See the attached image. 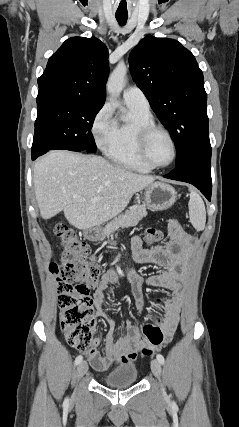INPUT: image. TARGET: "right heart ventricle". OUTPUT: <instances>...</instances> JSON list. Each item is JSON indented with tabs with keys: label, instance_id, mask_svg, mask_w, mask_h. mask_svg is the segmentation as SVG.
<instances>
[{
	"label": "right heart ventricle",
	"instance_id": "right-heart-ventricle-1",
	"mask_svg": "<svg viewBox=\"0 0 239 427\" xmlns=\"http://www.w3.org/2000/svg\"><path fill=\"white\" fill-rule=\"evenodd\" d=\"M129 116L126 120L116 121L114 133L104 149L106 156L115 164L140 173H148L152 169L139 157L137 137L139 129L153 125L154 119L150 111L128 106Z\"/></svg>",
	"mask_w": 239,
	"mask_h": 427
}]
</instances>
